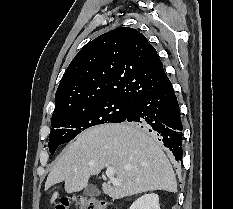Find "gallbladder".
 <instances>
[{"instance_id": "obj_1", "label": "gallbladder", "mask_w": 233, "mask_h": 209, "mask_svg": "<svg viewBox=\"0 0 233 209\" xmlns=\"http://www.w3.org/2000/svg\"><path fill=\"white\" fill-rule=\"evenodd\" d=\"M84 194L86 196L97 195L99 194V191L94 186H88L85 188Z\"/></svg>"}]
</instances>
